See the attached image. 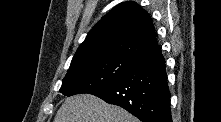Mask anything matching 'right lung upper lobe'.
I'll return each instance as SVG.
<instances>
[{
    "label": "right lung upper lobe",
    "instance_id": "obj_1",
    "mask_svg": "<svg viewBox=\"0 0 221 122\" xmlns=\"http://www.w3.org/2000/svg\"><path fill=\"white\" fill-rule=\"evenodd\" d=\"M158 46L150 15L133 1L120 3L88 33L70 66L106 56L137 60Z\"/></svg>",
    "mask_w": 221,
    "mask_h": 122
}]
</instances>
